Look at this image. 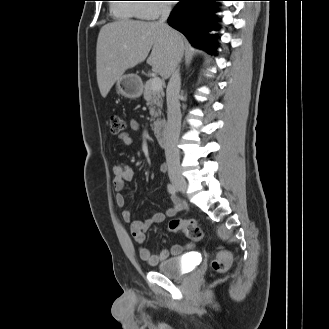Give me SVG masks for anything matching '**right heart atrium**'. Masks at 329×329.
<instances>
[{
    "instance_id": "1",
    "label": "right heart atrium",
    "mask_w": 329,
    "mask_h": 329,
    "mask_svg": "<svg viewBox=\"0 0 329 329\" xmlns=\"http://www.w3.org/2000/svg\"><path fill=\"white\" fill-rule=\"evenodd\" d=\"M145 2H158L144 4L141 9V16L143 19H156L161 14L167 12L169 7L165 0H146Z\"/></svg>"
}]
</instances>
